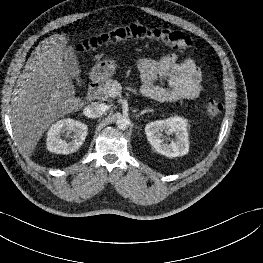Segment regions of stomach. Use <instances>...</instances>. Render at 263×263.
<instances>
[{
  "label": "stomach",
  "instance_id": "0dacf381",
  "mask_svg": "<svg viewBox=\"0 0 263 263\" xmlns=\"http://www.w3.org/2000/svg\"><path fill=\"white\" fill-rule=\"evenodd\" d=\"M116 63L111 59L100 60L92 69L91 79L96 82L112 77L116 71Z\"/></svg>",
  "mask_w": 263,
  "mask_h": 263
}]
</instances>
